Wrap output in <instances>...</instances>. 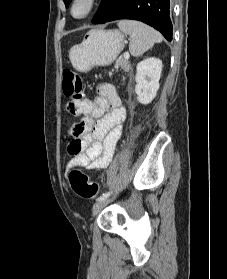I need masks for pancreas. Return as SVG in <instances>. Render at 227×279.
<instances>
[{
    "instance_id": "obj_1",
    "label": "pancreas",
    "mask_w": 227,
    "mask_h": 279,
    "mask_svg": "<svg viewBox=\"0 0 227 279\" xmlns=\"http://www.w3.org/2000/svg\"><path fill=\"white\" fill-rule=\"evenodd\" d=\"M115 68L116 69L120 68L121 70H123L125 72H130V73L132 71V67H131L130 63L126 59H120L116 63Z\"/></svg>"
}]
</instances>
